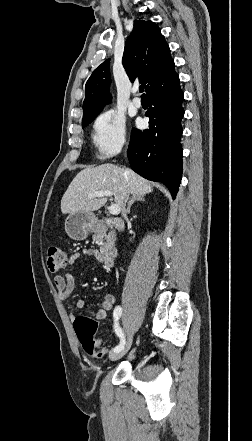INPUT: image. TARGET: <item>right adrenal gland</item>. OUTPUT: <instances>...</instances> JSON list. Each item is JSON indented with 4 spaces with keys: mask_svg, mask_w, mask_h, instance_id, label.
Returning a JSON list of instances; mask_svg holds the SVG:
<instances>
[{
    "mask_svg": "<svg viewBox=\"0 0 252 441\" xmlns=\"http://www.w3.org/2000/svg\"><path fill=\"white\" fill-rule=\"evenodd\" d=\"M136 201H145V200H144L143 197H140V196H133L132 199H131V200L129 201V203H128V207H127V210H126V213H127V214H130V208H131V206L134 204V202H136Z\"/></svg>",
    "mask_w": 252,
    "mask_h": 441,
    "instance_id": "obj_1",
    "label": "right adrenal gland"
}]
</instances>
